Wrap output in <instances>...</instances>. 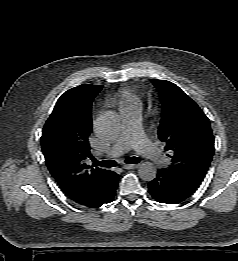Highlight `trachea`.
<instances>
[{
  "label": "trachea",
  "mask_w": 238,
  "mask_h": 261,
  "mask_svg": "<svg viewBox=\"0 0 238 261\" xmlns=\"http://www.w3.org/2000/svg\"><path fill=\"white\" fill-rule=\"evenodd\" d=\"M92 160L96 166H101V167H105V168L115 167L117 164L116 161H114V160H103V161H98L96 159H92ZM139 162H140V159L138 157H129L125 160L126 164H136Z\"/></svg>",
  "instance_id": "trachea-1"
}]
</instances>
